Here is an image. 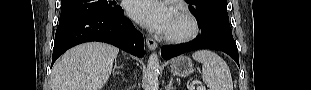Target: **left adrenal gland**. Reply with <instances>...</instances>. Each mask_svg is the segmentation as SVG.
Returning <instances> with one entry per match:
<instances>
[{
    "label": "left adrenal gland",
    "mask_w": 311,
    "mask_h": 90,
    "mask_svg": "<svg viewBox=\"0 0 311 90\" xmlns=\"http://www.w3.org/2000/svg\"><path fill=\"white\" fill-rule=\"evenodd\" d=\"M173 78L170 79L169 84L166 86V90H175V88L172 86Z\"/></svg>",
    "instance_id": "1"
}]
</instances>
